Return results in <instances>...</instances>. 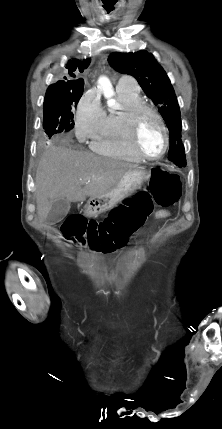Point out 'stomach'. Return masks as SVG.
Instances as JSON below:
<instances>
[{"label": "stomach", "mask_w": 222, "mask_h": 429, "mask_svg": "<svg viewBox=\"0 0 222 429\" xmlns=\"http://www.w3.org/2000/svg\"><path fill=\"white\" fill-rule=\"evenodd\" d=\"M147 175L148 171L144 167L129 171L108 192L100 196L91 197L86 204V214L88 216H98L113 208L118 202L141 188L149 180Z\"/></svg>", "instance_id": "stomach-1"}]
</instances>
